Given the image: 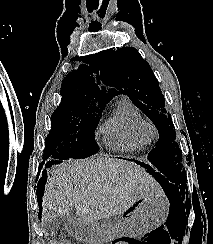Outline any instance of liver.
<instances>
[{"mask_svg":"<svg viewBox=\"0 0 213 244\" xmlns=\"http://www.w3.org/2000/svg\"><path fill=\"white\" fill-rule=\"evenodd\" d=\"M154 194H159L158 184L134 162L109 157L70 160L52 169L42 198V216L53 221L70 215L75 207L83 222L101 231L106 224L99 221Z\"/></svg>","mask_w":213,"mask_h":244,"instance_id":"obj_1","label":"liver"}]
</instances>
